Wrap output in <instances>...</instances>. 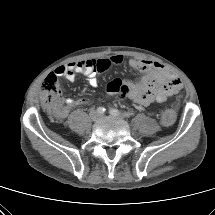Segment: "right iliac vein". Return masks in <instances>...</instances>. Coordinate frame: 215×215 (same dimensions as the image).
I'll return each instance as SVG.
<instances>
[{
	"mask_svg": "<svg viewBox=\"0 0 215 215\" xmlns=\"http://www.w3.org/2000/svg\"><path fill=\"white\" fill-rule=\"evenodd\" d=\"M98 117H99V115H98L96 112H92V113H91V118H92L93 120H97Z\"/></svg>",
	"mask_w": 215,
	"mask_h": 215,
	"instance_id": "63e3f726",
	"label": "right iliac vein"
}]
</instances>
